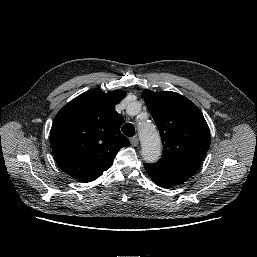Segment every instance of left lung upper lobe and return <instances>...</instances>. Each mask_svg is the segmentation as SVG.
I'll return each instance as SVG.
<instances>
[{
  "mask_svg": "<svg viewBox=\"0 0 257 257\" xmlns=\"http://www.w3.org/2000/svg\"><path fill=\"white\" fill-rule=\"evenodd\" d=\"M143 98L163 143L162 157L151 165L189 179L200 167L210 145V132L202 112L175 92L144 90Z\"/></svg>",
  "mask_w": 257,
  "mask_h": 257,
  "instance_id": "5c2ea615",
  "label": "left lung upper lobe"
}]
</instances>
